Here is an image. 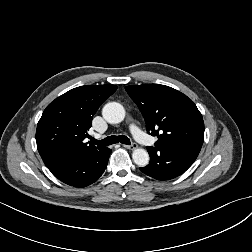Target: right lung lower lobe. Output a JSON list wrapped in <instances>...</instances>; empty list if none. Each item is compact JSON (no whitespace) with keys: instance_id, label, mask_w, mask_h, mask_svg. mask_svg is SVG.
Listing matches in <instances>:
<instances>
[{"instance_id":"right-lung-lower-lobe-1","label":"right lung lower lobe","mask_w":252,"mask_h":252,"mask_svg":"<svg viewBox=\"0 0 252 252\" xmlns=\"http://www.w3.org/2000/svg\"><path fill=\"white\" fill-rule=\"evenodd\" d=\"M110 153L108 148L98 153H79L61 159L48 168L62 182L82 188L94 183L103 174Z\"/></svg>"}]
</instances>
